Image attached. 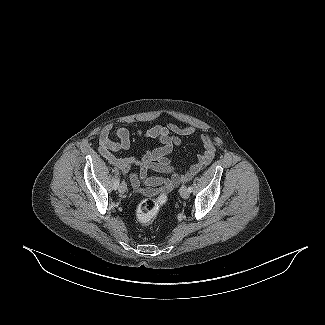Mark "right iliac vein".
Instances as JSON below:
<instances>
[{"label":"right iliac vein","instance_id":"63e3f726","mask_svg":"<svg viewBox=\"0 0 325 325\" xmlns=\"http://www.w3.org/2000/svg\"><path fill=\"white\" fill-rule=\"evenodd\" d=\"M118 190H119V192L122 193V194L125 193L126 190H127V185H126V183H125V182H122V183L120 184Z\"/></svg>","mask_w":325,"mask_h":325}]
</instances>
